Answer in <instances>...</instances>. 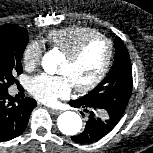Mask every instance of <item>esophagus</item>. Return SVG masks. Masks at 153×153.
I'll list each match as a JSON object with an SVG mask.
<instances>
[{
	"instance_id": "34e87169",
	"label": "esophagus",
	"mask_w": 153,
	"mask_h": 153,
	"mask_svg": "<svg viewBox=\"0 0 153 153\" xmlns=\"http://www.w3.org/2000/svg\"><path fill=\"white\" fill-rule=\"evenodd\" d=\"M50 112H51L52 114H54V115H58V114L61 113L60 110H55V109H51Z\"/></svg>"
}]
</instances>
